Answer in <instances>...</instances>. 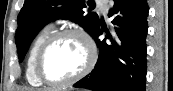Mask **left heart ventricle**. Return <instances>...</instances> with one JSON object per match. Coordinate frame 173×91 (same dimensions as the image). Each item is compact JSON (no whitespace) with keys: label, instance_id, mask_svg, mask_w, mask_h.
<instances>
[{"label":"left heart ventricle","instance_id":"obj_1","mask_svg":"<svg viewBox=\"0 0 173 91\" xmlns=\"http://www.w3.org/2000/svg\"><path fill=\"white\" fill-rule=\"evenodd\" d=\"M84 42L72 35L56 40L47 50L42 63L46 78L62 81L77 74L86 63Z\"/></svg>","mask_w":173,"mask_h":91}]
</instances>
